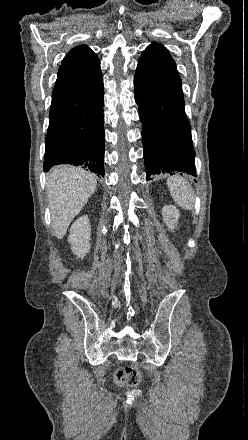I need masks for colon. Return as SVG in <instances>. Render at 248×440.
I'll list each match as a JSON object with an SVG mask.
<instances>
[{
	"label": "colon",
	"instance_id": "colon-1",
	"mask_svg": "<svg viewBox=\"0 0 248 440\" xmlns=\"http://www.w3.org/2000/svg\"><path fill=\"white\" fill-rule=\"evenodd\" d=\"M116 383L123 384H136L139 382L138 371L130 366L120 367L115 371L114 375Z\"/></svg>",
	"mask_w": 248,
	"mask_h": 440
}]
</instances>
